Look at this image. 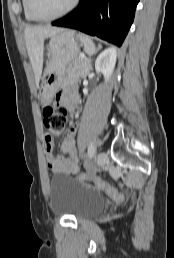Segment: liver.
<instances>
[{"mask_svg":"<svg viewBox=\"0 0 174 258\" xmlns=\"http://www.w3.org/2000/svg\"><path fill=\"white\" fill-rule=\"evenodd\" d=\"M62 29L51 26H29L24 30L27 52L35 75L36 85H39L43 68L44 41Z\"/></svg>","mask_w":174,"mask_h":258,"instance_id":"liver-1","label":"liver"}]
</instances>
